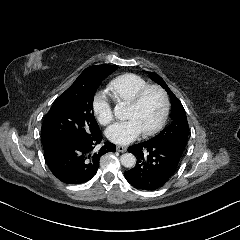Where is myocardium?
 <instances>
[{"label": "myocardium", "mask_w": 240, "mask_h": 240, "mask_svg": "<svg viewBox=\"0 0 240 240\" xmlns=\"http://www.w3.org/2000/svg\"><path fill=\"white\" fill-rule=\"evenodd\" d=\"M151 90L157 91L161 96L162 113H161V117H160L158 123L152 129L147 130V131H142V134L145 136L155 135L164 127V125L166 123V120H167V117L169 114V107H170L169 99H168V95H167L166 91L158 85H147V86L139 89L138 92L135 94L134 98L132 99V101L125 106L126 108H129V109L137 108L141 104L145 94Z\"/></svg>", "instance_id": "f54148a6"}]
</instances>
